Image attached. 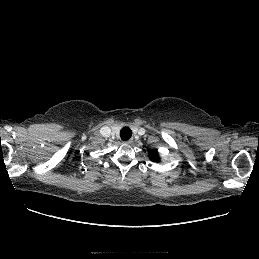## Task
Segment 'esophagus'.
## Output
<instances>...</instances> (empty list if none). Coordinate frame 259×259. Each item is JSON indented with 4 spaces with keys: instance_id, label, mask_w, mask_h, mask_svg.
I'll return each instance as SVG.
<instances>
[{
    "instance_id": "1",
    "label": "esophagus",
    "mask_w": 259,
    "mask_h": 259,
    "mask_svg": "<svg viewBox=\"0 0 259 259\" xmlns=\"http://www.w3.org/2000/svg\"><path fill=\"white\" fill-rule=\"evenodd\" d=\"M133 142V139H129L128 141H126L127 144H131Z\"/></svg>"
}]
</instances>
